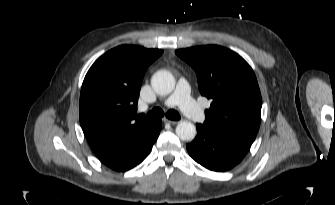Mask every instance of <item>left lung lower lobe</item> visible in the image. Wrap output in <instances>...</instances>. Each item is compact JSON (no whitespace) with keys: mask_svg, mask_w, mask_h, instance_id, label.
Wrapping results in <instances>:
<instances>
[{"mask_svg":"<svg viewBox=\"0 0 335 205\" xmlns=\"http://www.w3.org/2000/svg\"><path fill=\"white\" fill-rule=\"evenodd\" d=\"M198 135L186 146L190 156L202 166L217 172L227 171L246 155L252 142L225 135L196 124Z\"/></svg>","mask_w":335,"mask_h":205,"instance_id":"left-lung-lower-lobe-1","label":"left lung lower lobe"}]
</instances>
